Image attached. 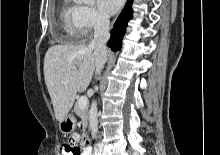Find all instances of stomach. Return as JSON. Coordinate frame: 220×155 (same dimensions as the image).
Listing matches in <instances>:
<instances>
[{"mask_svg": "<svg viewBox=\"0 0 220 155\" xmlns=\"http://www.w3.org/2000/svg\"><path fill=\"white\" fill-rule=\"evenodd\" d=\"M76 128V120L72 114H68L63 121L59 123V129L64 134H70Z\"/></svg>", "mask_w": 220, "mask_h": 155, "instance_id": "stomach-1", "label": "stomach"}]
</instances>
